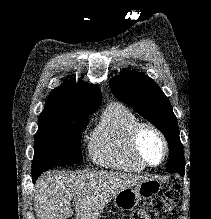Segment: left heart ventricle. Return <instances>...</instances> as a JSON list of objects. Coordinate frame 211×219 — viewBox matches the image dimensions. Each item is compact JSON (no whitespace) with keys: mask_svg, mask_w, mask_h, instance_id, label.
I'll use <instances>...</instances> for the list:
<instances>
[{"mask_svg":"<svg viewBox=\"0 0 211 219\" xmlns=\"http://www.w3.org/2000/svg\"><path fill=\"white\" fill-rule=\"evenodd\" d=\"M140 149L144 158L156 164L161 160L163 147L159 137L151 130L146 129L140 138Z\"/></svg>","mask_w":211,"mask_h":219,"instance_id":"obj_1","label":"left heart ventricle"}]
</instances>
